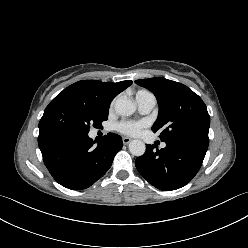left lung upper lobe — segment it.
Segmentation results:
<instances>
[{"mask_svg":"<svg viewBox=\"0 0 248 248\" xmlns=\"http://www.w3.org/2000/svg\"><path fill=\"white\" fill-rule=\"evenodd\" d=\"M156 96L159 114L152 126L161 141L178 138L208 139L210 117L202 99L187 86L165 78L135 81Z\"/></svg>","mask_w":248,"mask_h":248,"instance_id":"left-lung-upper-lobe-1","label":"left lung upper lobe"}]
</instances>
